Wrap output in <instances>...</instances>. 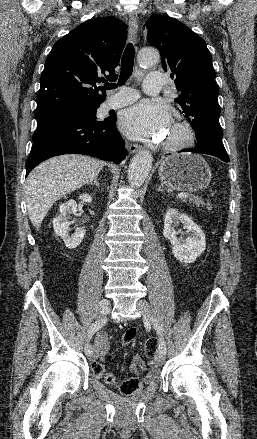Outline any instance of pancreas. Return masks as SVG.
Segmentation results:
<instances>
[{"label":"pancreas","instance_id":"obj_1","mask_svg":"<svg viewBox=\"0 0 257 439\" xmlns=\"http://www.w3.org/2000/svg\"><path fill=\"white\" fill-rule=\"evenodd\" d=\"M189 202L195 204V205L198 206V207H200V206L203 207L204 204H205V202L202 200V198H201V197H198V196H192V197H190V198H189Z\"/></svg>","mask_w":257,"mask_h":439}]
</instances>
